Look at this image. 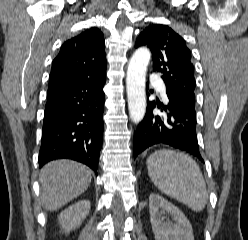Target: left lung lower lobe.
I'll list each match as a JSON object with an SVG mask.
<instances>
[{
  "label": "left lung lower lobe",
  "instance_id": "1",
  "mask_svg": "<svg viewBox=\"0 0 248 240\" xmlns=\"http://www.w3.org/2000/svg\"><path fill=\"white\" fill-rule=\"evenodd\" d=\"M167 97V105L157 103V107L166 112L164 115L153 114L155 102L147 101L145 117L134 132V158L154 144H167L203 161L196 135L195 104L180 102L168 94Z\"/></svg>",
  "mask_w": 248,
  "mask_h": 240
}]
</instances>
